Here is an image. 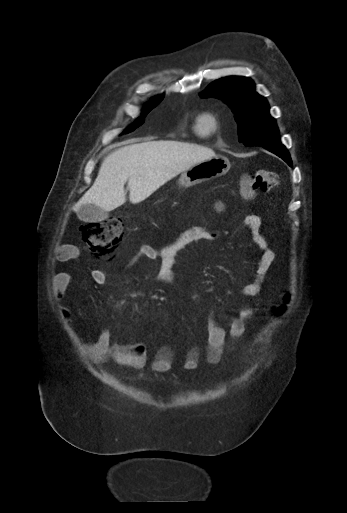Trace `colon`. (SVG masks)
I'll return each mask as SVG.
<instances>
[{
    "mask_svg": "<svg viewBox=\"0 0 347 513\" xmlns=\"http://www.w3.org/2000/svg\"><path fill=\"white\" fill-rule=\"evenodd\" d=\"M278 182L276 172L259 170L252 174L245 175L240 183V193L243 198L250 199L256 193H266L273 189ZM223 210L222 204L216 205V211ZM123 223L119 218H110L100 222L87 223L81 226V235L92 251L98 256L111 255L121 244L123 237ZM75 255V251L73 252ZM289 294L284 296L287 302ZM284 305L279 306L283 310Z\"/></svg>",
    "mask_w": 347,
    "mask_h": 513,
    "instance_id": "5ec220e1",
    "label": "colon"
}]
</instances>
